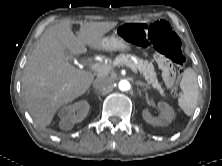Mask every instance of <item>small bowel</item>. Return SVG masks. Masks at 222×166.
Instances as JSON below:
<instances>
[{"label":"small bowel","mask_w":222,"mask_h":166,"mask_svg":"<svg viewBox=\"0 0 222 166\" xmlns=\"http://www.w3.org/2000/svg\"><path fill=\"white\" fill-rule=\"evenodd\" d=\"M163 60V57L160 54L155 55V61L158 64V66L161 68V62Z\"/></svg>","instance_id":"1"}]
</instances>
